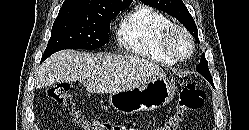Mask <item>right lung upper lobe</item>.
<instances>
[{
  "label": "right lung upper lobe",
  "mask_w": 249,
  "mask_h": 130,
  "mask_svg": "<svg viewBox=\"0 0 249 130\" xmlns=\"http://www.w3.org/2000/svg\"><path fill=\"white\" fill-rule=\"evenodd\" d=\"M132 0H65L61 8L96 11L113 4H131Z\"/></svg>",
  "instance_id": "1"
}]
</instances>
